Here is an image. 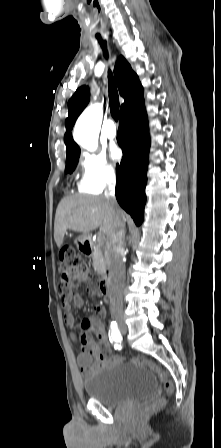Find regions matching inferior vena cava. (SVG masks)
<instances>
[{
  "label": "inferior vena cava",
  "instance_id": "602c4592",
  "mask_svg": "<svg viewBox=\"0 0 221 448\" xmlns=\"http://www.w3.org/2000/svg\"><path fill=\"white\" fill-rule=\"evenodd\" d=\"M105 198L110 203L112 209L117 216V225L112 233L110 246H109V258H110V271L112 275V298L111 309L114 315H119L123 310V301L121 291L125 282V266L123 263L124 246H125V222L118 214V204L115 198V178L112 176L107 181V187L105 189Z\"/></svg>",
  "mask_w": 221,
  "mask_h": 448
}]
</instances>
